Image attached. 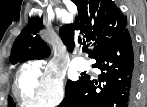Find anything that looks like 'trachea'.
Listing matches in <instances>:
<instances>
[{
  "label": "trachea",
  "instance_id": "3493384b",
  "mask_svg": "<svg viewBox=\"0 0 147 107\" xmlns=\"http://www.w3.org/2000/svg\"><path fill=\"white\" fill-rule=\"evenodd\" d=\"M87 50V46H83V51Z\"/></svg>",
  "mask_w": 147,
  "mask_h": 107
}]
</instances>
